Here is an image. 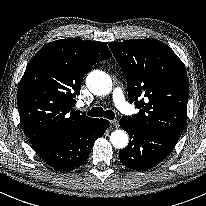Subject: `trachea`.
Segmentation results:
<instances>
[{"mask_svg": "<svg viewBox=\"0 0 206 206\" xmlns=\"http://www.w3.org/2000/svg\"><path fill=\"white\" fill-rule=\"evenodd\" d=\"M88 115L92 117H104L109 120H113L115 118V114L111 110H104L102 107H94L89 112Z\"/></svg>", "mask_w": 206, "mask_h": 206, "instance_id": "3493384b", "label": "trachea"}]
</instances>
